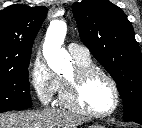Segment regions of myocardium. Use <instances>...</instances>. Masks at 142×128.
I'll list each match as a JSON object with an SVG mask.
<instances>
[{
  "instance_id": "myocardium-1",
  "label": "myocardium",
  "mask_w": 142,
  "mask_h": 128,
  "mask_svg": "<svg viewBox=\"0 0 142 128\" xmlns=\"http://www.w3.org/2000/svg\"><path fill=\"white\" fill-rule=\"evenodd\" d=\"M104 77L111 85L115 103L113 108L104 113H98L87 109L82 102V90L87 82L94 76ZM64 102L65 105L71 110L92 118H106L113 115L119 108L121 102L120 91L114 78L105 70L96 67H81L76 66L74 74L71 78H64Z\"/></svg>"
}]
</instances>
